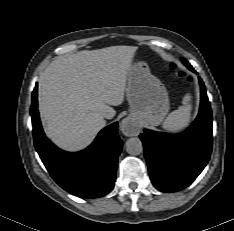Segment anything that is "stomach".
Listing matches in <instances>:
<instances>
[{"mask_svg":"<svg viewBox=\"0 0 234 231\" xmlns=\"http://www.w3.org/2000/svg\"><path fill=\"white\" fill-rule=\"evenodd\" d=\"M126 97L132 119L140 123L158 125L170 109L165 86L143 61L132 63L128 70Z\"/></svg>","mask_w":234,"mask_h":231,"instance_id":"stomach-1","label":"stomach"}]
</instances>
